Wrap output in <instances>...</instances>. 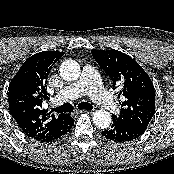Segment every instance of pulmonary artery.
<instances>
[{
  "instance_id": "e3ab8cb5",
  "label": "pulmonary artery",
  "mask_w": 174,
  "mask_h": 174,
  "mask_svg": "<svg viewBox=\"0 0 174 174\" xmlns=\"http://www.w3.org/2000/svg\"><path fill=\"white\" fill-rule=\"evenodd\" d=\"M90 95L92 99L105 109L114 112L117 106L109 92L103 87L97 71L90 65L83 68L81 77L75 83L64 87L57 94V101L73 100L84 95Z\"/></svg>"
}]
</instances>
